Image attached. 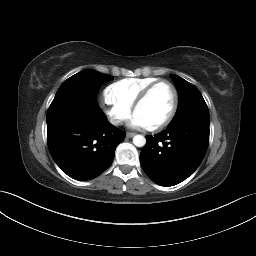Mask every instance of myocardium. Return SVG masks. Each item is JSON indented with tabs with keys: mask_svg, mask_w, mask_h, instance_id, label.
<instances>
[{
	"mask_svg": "<svg viewBox=\"0 0 256 256\" xmlns=\"http://www.w3.org/2000/svg\"><path fill=\"white\" fill-rule=\"evenodd\" d=\"M161 84H167L173 91V103L171 106V109L169 111V113L167 114V116L161 120L160 122L151 125V126H146L145 128L149 131H155V130H159L164 128L165 126H167L173 119L177 108H178V103H179V93L178 90L176 88V86L168 81V80H158L152 84H150L148 87H146L142 93L138 96V98L136 99V101L134 102L133 106H132V112L133 114H135L136 110L147 100V98L149 97V95L151 94V92L159 85Z\"/></svg>",
	"mask_w": 256,
	"mask_h": 256,
	"instance_id": "myocardium-1",
	"label": "myocardium"
}]
</instances>
